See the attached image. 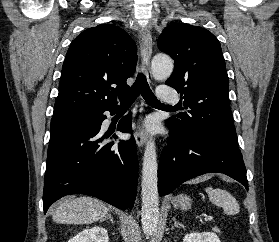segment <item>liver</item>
Listing matches in <instances>:
<instances>
[{
	"label": "liver",
	"instance_id": "1",
	"mask_svg": "<svg viewBox=\"0 0 279 242\" xmlns=\"http://www.w3.org/2000/svg\"><path fill=\"white\" fill-rule=\"evenodd\" d=\"M108 207L92 197L66 198L52 213V219L61 224H88L103 221L108 214Z\"/></svg>",
	"mask_w": 279,
	"mask_h": 242
}]
</instances>
